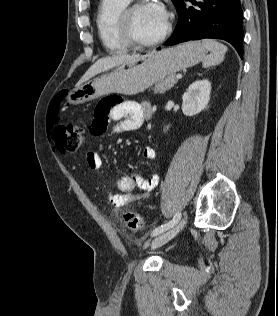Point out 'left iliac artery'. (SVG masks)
Instances as JSON below:
<instances>
[{
  "mask_svg": "<svg viewBox=\"0 0 278 316\" xmlns=\"http://www.w3.org/2000/svg\"><path fill=\"white\" fill-rule=\"evenodd\" d=\"M181 218V214L178 212L176 213V215L173 217V219L165 224H162L161 226L155 228L151 235L152 236H157L161 233H163L164 231L170 229L171 227H173L176 223H178V221L180 220Z\"/></svg>",
  "mask_w": 278,
  "mask_h": 316,
  "instance_id": "44dca946",
  "label": "left iliac artery"
}]
</instances>
